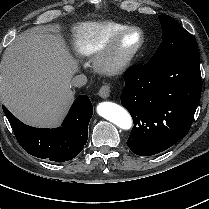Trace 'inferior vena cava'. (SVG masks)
<instances>
[{
	"label": "inferior vena cava",
	"mask_w": 209,
	"mask_h": 209,
	"mask_svg": "<svg viewBox=\"0 0 209 209\" xmlns=\"http://www.w3.org/2000/svg\"><path fill=\"white\" fill-rule=\"evenodd\" d=\"M87 83V77L84 74L76 75L71 80V85L74 87H82Z\"/></svg>",
	"instance_id": "obj_1"
}]
</instances>
